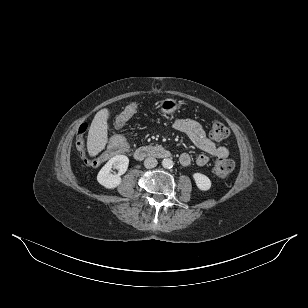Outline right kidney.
<instances>
[{"label": "right kidney", "instance_id": "ca27d5eb", "mask_svg": "<svg viewBox=\"0 0 308 308\" xmlns=\"http://www.w3.org/2000/svg\"><path fill=\"white\" fill-rule=\"evenodd\" d=\"M129 159L125 155L112 157L99 171L97 181L107 189H113L121 183V175L127 171ZM118 169V174H112L111 169Z\"/></svg>", "mask_w": 308, "mask_h": 308}]
</instances>
